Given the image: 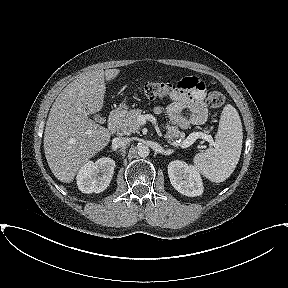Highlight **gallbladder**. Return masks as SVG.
I'll list each match as a JSON object with an SVG mask.
<instances>
[{"mask_svg":"<svg viewBox=\"0 0 288 288\" xmlns=\"http://www.w3.org/2000/svg\"><path fill=\"white\" fill-rule=\"evenodd\" d=\"M94 120L96 121V122H98V123H104V118L103 117H101L99 114H96V115H94Z\"/></svg>","mask_w":288,"mask_h":288,"instance_id":"gallbladder-1","label":"gallbladder"}]
</instances>
